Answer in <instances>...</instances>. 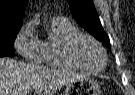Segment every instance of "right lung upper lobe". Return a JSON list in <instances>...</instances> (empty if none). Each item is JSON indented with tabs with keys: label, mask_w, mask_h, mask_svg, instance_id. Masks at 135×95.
I'll return each instance as SVG.
<instances>
[{
	"label": "right lung upper lobe",
	"mask_w": 135,
	"mask_h": 95,
	"mask_svg": "<svg viewBox=\"0 0 135 95\" xmlns=\"http://www.w3.org/2000/svg\"><path fill=\"white\" fill-rule=\"evenodd\" d=\"M26 0H0V34L19 31Z\"/></svg>",
	"instance_id": "1"
}]
</instances>
